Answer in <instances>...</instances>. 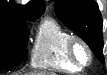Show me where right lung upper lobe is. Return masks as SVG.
Wrapping results in <instances>:
<instances>
[{"instance_id":"obj_1","label":"right lung upper lobe","mask_w":107,"mask_h":75,"mask_svg":"<svg viewBox=\"0 0 107 75\" xmlns=\"http://www.w3.org/2000/svg\"><path fill=\"white\" fill-rule=\"evenodd\" d=\"M45 11V5L42 1L33 0L29 4L21 7L12 2L7 3L0 0V30L6 25L18 23L25 24L24 18L34 21Z\"/></svg>"}]
</instances>
